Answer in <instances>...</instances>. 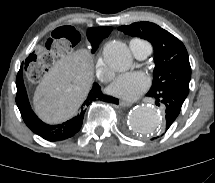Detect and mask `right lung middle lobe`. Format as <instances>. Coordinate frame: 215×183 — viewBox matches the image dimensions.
Returning a JSON list of instances; mask_svg holds the SVG:
<instances>
[{
	"label": "right lung middle lobe",
	"instance_id": "1",
	"mask_svg": "<svg viewBox=\"0 0 215 183\" xmlns=\"http://www.w3.org/2000/svg\"><path fill=\"white\" fill-rule=\"evenodd\" d=\"M67 28V27H66ZM67 31L70 35V40L73 42H79L80 41V35L77 34L74 30L71 29V27L67 28ZM106 37L105 34L99 32L96 28H89L87 31V38L89 42L92 45V53L96 51V49L99 46V43Z\"/></svg>",
	"mask_w": 215,
	"mask_h": 183
}]
</instances>
